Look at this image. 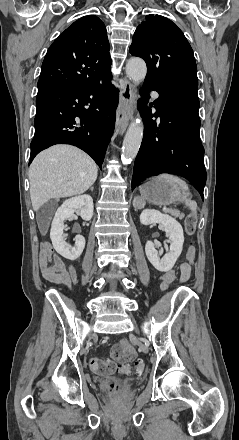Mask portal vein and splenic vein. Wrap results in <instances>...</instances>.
Wrapping results in <instances>:
<instances>
[{
	"label": "portal vein and splenic vein",
	"instance_id": "portal-vein-and-splenic-vein-1",
	"mask_svg": "<svg viewBox=\"0 0 239 440\" xmlns=\"http://www.w3.org/2000/svg\"><path fill=\"white\" fill-rule=\"evenodd\" d=\"M162 211H163V212H166V211H168V208H167V206H164V207H162Z\"/></svg>",
	"mask_w": 239,
	"mask_h": 440
}]
</instances>
